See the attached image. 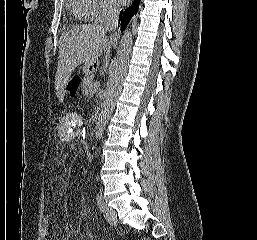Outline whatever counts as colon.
Masks as SVG:
<instances>
[{
  "label": "colon",
  "mask_w": 257,
  "mask_h": 240,
  "mask_svg": "<svg viewBox=\"0 0 257 240\" xmlns=\"http://www.w3.org/2000/svg\"><path fill=\"white\" fill-rule=\"evenodd\" d=\"M81 79L77 75H73L67 82V92L71 96H76L79 91ZM49 226H50V219L48 215H44L41 221V234L45 240L49 238Z\"/></svg>",
  "instance_id": "1"
}]
</instances>
